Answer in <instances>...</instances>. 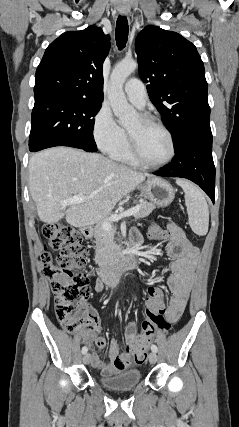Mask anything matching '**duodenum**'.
<instances>
[{"label": "duodenum", "instance_id": "duodenum-1", "mask_svg": "<svg viewBox=\"0 0 239 427\" xmlns=\"http://www.w3.org/2000/svg\"><path fill=\"white\" fill-rule=\"evenodd\" d=\"M83 233L88 237L91 235V229L84 227ZM138 250L139 247L134 245L113 262L99 260L97 262V274L100 279L109 283L118 281L124 272L131 270L137 265Z\"/></svg>", "mask_w": 239, "mask_h": 427}]
</instances>
